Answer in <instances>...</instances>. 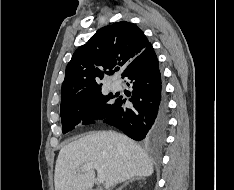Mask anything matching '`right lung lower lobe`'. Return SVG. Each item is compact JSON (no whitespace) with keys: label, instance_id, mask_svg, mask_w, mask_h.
<instances>
[{"label":"right lung lower lobe","instance_id":"1","mask_svg":"<svg viewBox=\"0 0 234 190\" xmlns=\"http://www.w3.org/2000/svg\"><path fill=\"white\" fill-rule=\"evenodd\" d=\"M122 77L133 88V96L129 99L133 106L127 108L126 99L117 98L115 108L104 122L122 130L136 141L161 143L167 126V107L159 63L152 45L128 65Z\"/></svg>","mask_w":234,"mask_h":190}]
</instances>
